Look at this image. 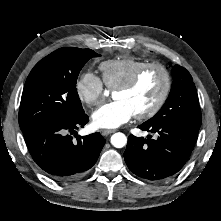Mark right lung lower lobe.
<instances>
[{"label":"right lung lower lobe","mask_w":221,"mask_h":221,"mask_svg":"<svg viewBox=\"0 0 221 221\" xmlns=\"http://www.w3.org/2000/svg\"><path fill=\"white\" fill-rule=\"evenodd\" d=\"M88 120L84 113L71 121H52L23 133L31 157L44 174L58 182H70L95 164L106 140L100 133L77 135L76 130Z\"/></svg>","instance_id":"98d812e1"}]
</instances>
